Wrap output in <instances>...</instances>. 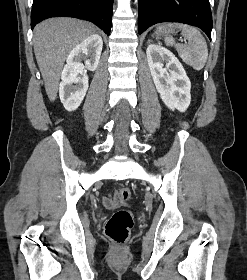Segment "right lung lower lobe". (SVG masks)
I'll use <instances>...</instances> for the list:
<instances>
[{
  "label": "right lung lower lobe",
  "mask_w": 247,
  "mask_h": 280,
  "mask_svg": "<svg viewBox=\"0 0 247 280\" xmlns=\"http://www.w3.org/2000/svg\"><path fill=\"white\" fill-rule=\"evenodd\" d=\"M112 5L113 0H33L31 28L46 18L67 16L92 21L109 35Z\"/></svg>",
  "instance_id": "right-lung-lower-lobe-1"
}]
</instances>
